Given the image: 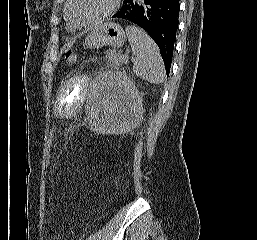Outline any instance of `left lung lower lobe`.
<instances>
[{"instance_id":"left-lung-lower-lobe-1","label":"left lung lower lobe","mask_w":257,"mask_h":240,"mask_svg":"<svg viewBox=\"0 0 257 240\" xmlns=\"http://www.w3.org/2000/svg\"><path fill=\"white\" fill-rule=\"evenodd\" d=\"M179 0H123L114 18L128 20L144 29L158 45L167 76L178 29Z\"/></svg>"}]
</instances>
